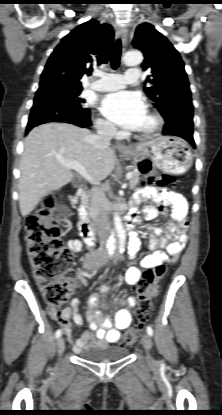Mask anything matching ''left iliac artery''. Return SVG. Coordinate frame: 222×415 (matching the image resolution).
<instances>
[{
	"label": "left iliac artery",
	"mask_w": 222,
	"mask_h": 415,
	"mask_svg": "<svg viewBox=\"0 0 222 415\" xmlns=\"http://www.w3.org/2000/svg\"><path fill=\"white\" fill-rule=\"evenodd\" d=\"M147 333L152 336L153 335V329L151 326H147Z\"/></svg>",
	"instance_id": "left-iliac-artery-1"
}]
</instances>
